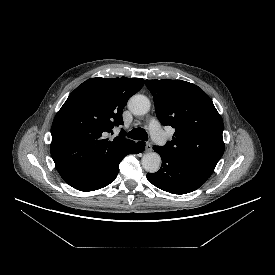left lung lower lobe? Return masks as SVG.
<instances>
[{
  "mask_svg": "<svg viewBox=\"0 0 275 275\" xmlns=\"http://www.w3.org/2000/svg\"><path fill=\"white\" fill-rule=\"evenodd\" d=\"M153 149L162 159V165L156 173H148L147 179L154 186L172 194L190 193L202 186L210 177L195 167L171 155L165 148Z\"/></svg>",
  "mask_w": 275,
  "mask_h": 275,
  "instance_id": "obj_1",
  "label": "left lung lower lobe"
}]
</instances>
